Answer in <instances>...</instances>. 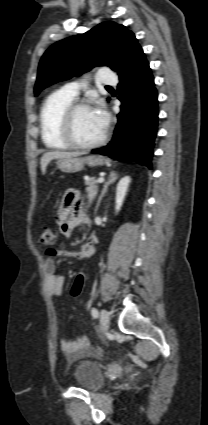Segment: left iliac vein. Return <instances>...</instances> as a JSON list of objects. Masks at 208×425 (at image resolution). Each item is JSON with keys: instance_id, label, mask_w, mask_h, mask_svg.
<instances>
[{"instance_id": "left-iliac-vein-1", "label": "left iliac vein", "mask_w": 208, "mask_h": 425, "mask_svg": "<svg viewBox=\"0 0 208 425\" xmlns=\"http://www.w3.org/2000/svg\"><path fill=\"white\" fill-rule=\"evenodd\" d=\"M100 323H101L102 330L106 332L109 329L110 316H109V313L104 309L101 310V313H100Z\"/></svg>"}]
</instances>
